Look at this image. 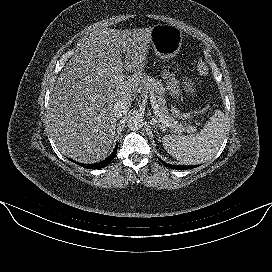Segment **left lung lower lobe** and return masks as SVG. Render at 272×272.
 <instances>
[{"instance_id":"1","label":"left lung lower lobe","mask_w":272,"mask_h":272,"mask_svg":"<svg viewBox=\"0 0 272 272\" xmlns=\"http://www.w3.org/2000/svg\"><path fill=\"white\" fill-rule=\"evenodd\" d=\"M159 159V158H158ZM159 161L165 165L166 167H169L171 169H177V170H187L193 168V166H177V165H170L159 159Z\"/></svg>"}]
</instances>
